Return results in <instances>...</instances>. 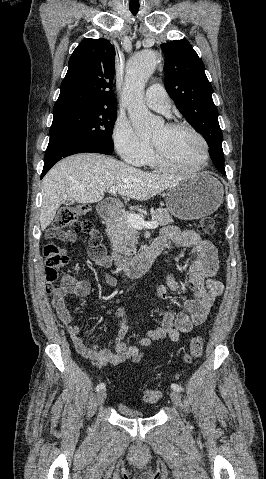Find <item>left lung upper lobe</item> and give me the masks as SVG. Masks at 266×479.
<instances>
[{
    "label": "left lung upper lobe",
    "mask_w": 266,
    "mask_h": 479,
    "mask_svg": "<svg viewBox=\"0 0 266 479\" xmlns=\"http://www.w3.org/2000/svg\"><path fill=\"white\" fill-rule=\"evenodd\" d=\"M161 49L165 55L166 91L180 113L206 140L214 165L225 172L223 135L203 61L186 39L164 43Z\"/></svg>",
    "instance_id": "left-lung-upper-lobe-1"
}]
</instances>
